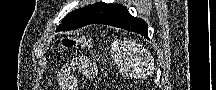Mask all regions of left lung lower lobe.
Returning a JSON list of instances; mask_svg holds the SVG:
<instances>
[{"instance_id":"1","label":"left lung lower lobe","mask_w":216,"mask_h":90,"mask_svg":"<svg viewBox=\"0 0 216 90\" xmlns=\"http://www.w3.org/2000/svg\"><path fill=\"white\" fill-rule=\"evenodd\" d=\"M94 24H106L123 28L132 32L139 33L149 39L146 22L140 18L131 16L127 8L123 6L109 13L100 20L94 22Z\"/></svg>"}]
</instances>
